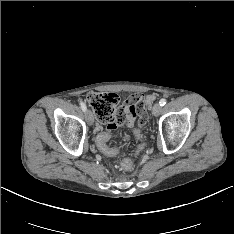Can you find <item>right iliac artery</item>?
Returning a JSON list of instances; mask_svg holds the SVG:
<instances>
[{
	"label": "right iliac artery",
	"instance_id": "82829eb1",
	"mask_svg": "<svg viewBox=\"0 0 234 234\" xmlns=\"http://www.w3.org/2000/svg\"><path fill=\"white\" fill-rule=\"evenodd\" d=\"M80 106H81V109L83 110V111H86V105H85V103L84 102H80Z\"/></svg>",
	"mask_w": 234,
	"mask_h": 234
}]
</instances>
